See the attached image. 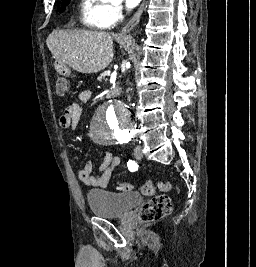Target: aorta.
Here are the masks:
<instances>
[{
    "label": "aorta",
    "mask_w": 256,
    "mask_h": 267,
    "mask_svg": "<svg viewBox=\"0 0 256 267\" xmlns=\"http://www.w3.org/2000/svg\"><path fill=\"white\" fill-rule=\"evenodd\" d=\"M93 127H132L130 108L120 101H103L92 117ZM118 133H127V128H90L89 138L94 143H115Z\"/></svg>",
    "instance_id": "obj_1"
}]
</instances>
